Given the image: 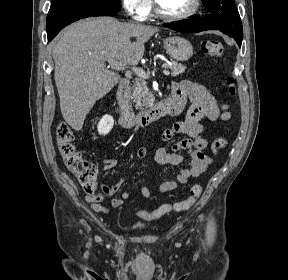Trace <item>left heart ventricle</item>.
I'll return each instance as SVG.
<instances>
[{
	"instance_id": "left-heart-ventricle-1",
	"label": "left heart ventricle",
	"mask_w": 288,
	"mask_h": 280,
	"mask_svg": "<svg viewBox=\"0 0 288 280\" xmlns=\"http://www.w3.org/2000/svg\"><path fill=\"white\" fill-rule=\"evenodd\" d=\"M161 9L170 15L187 12L193 6L194 0H157Z\"/></svg>"
}]
</instances>
